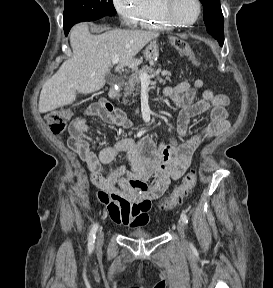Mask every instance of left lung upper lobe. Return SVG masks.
I'll return each mask as SVG.
<instances>
[{"label": "left lung upper lobe", "mask_w": 273, "mask_h": 288, "mask_svg": "<svg viewBox=\"0 0 273 288\" xmlns=\"http://www.w3.org/2000/svg\"><path fill=\"white\" fill-rule=\"evenodd\" d=\"M204 7V22L207 31L215 38H224V18L220 0H200Z\"/></svg>", "instance_id": "5c2ea615"}]
</instances>
